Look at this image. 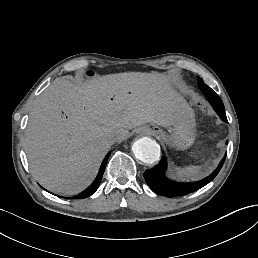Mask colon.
I'll return each instance as SVG.
<instances>
[{
  "label": "colon",
  "mask_w": 258,
  "mask_h": 258,
  "mask_svg": "<svg viewBox=\"0 0 258 258\" xmlns=\"http://www.w3.org/2000/svg\"><path fill=\"white\" fill-rule=\"evenodd\" d=\"M86 75H87L88 77H93V76H95V72L92 71V70H90V71H87V72H86Z\"/></svg>",
  "instance_id": "obj_1"
}]
</instances>
